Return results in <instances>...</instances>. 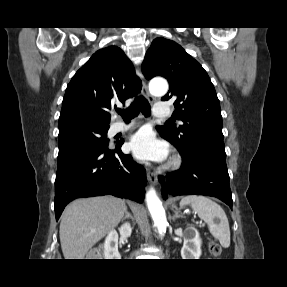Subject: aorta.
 <instances>
[{"label":"aorta","mask_w":287,"mask_h":287,"mask_svg":"<svg viewBox=\"0 0 287 287\" xmlns=\"http://www.w3.org/2000/svg\"><path fill=\"white\" fill-rule=\"evenodd\" d=\"M149 88L153 94L164 95L168 90V84L165 80H155L150 83ZM146 203L154 221V226L160 235H164L168 225L166 214L162 202L153 188H150L146 193Z\"/></svg>","instance_id":"aorta-1"}]
</instances>
